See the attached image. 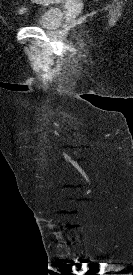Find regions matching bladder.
Returning a JSON list of instances; mask_svg holds the SVG:
<instances>
[{"mask_svg": "<svg viewBox=\"0 0 133 275\" xmlns=\"http://www.w3.org/2000/svg\"><path fill=\"white\" fill-rule=\"evenodd\" d=\"M64 19L63 11L58 7H48L39 16L36 26L46 30L56 29Z\"/></svg>", "mask_w": 133, "mask_h": 275, "instance_id": "obj_1", "label": "bladder"}]
</instances>
